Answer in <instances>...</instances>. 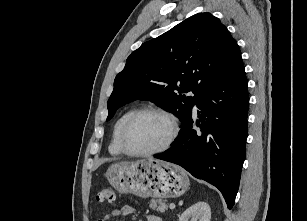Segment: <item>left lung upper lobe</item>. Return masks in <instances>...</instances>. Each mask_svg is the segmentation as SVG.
Segmentation results:
<instances>
[{
	"instance_id": "1",
	"label": "left lung upper lobe",
	"mask_w": 307,
	"mask_h": 221,
	"mask_svg": "<svg viewBox=\"0 0 307 221\" xmlns=\"http://www.w3.org/2000/svg\"><path fill=\"white\" fill-rule=\"evenodd\" d=\"M240 55L220 20L198 13L143 43L127 58L108 100L110 120L121 106L149 99L174 113L182 125L200 98L231 69ZM192 91L194 96L184 93Z\"/></svg>"
}]
</instances>
